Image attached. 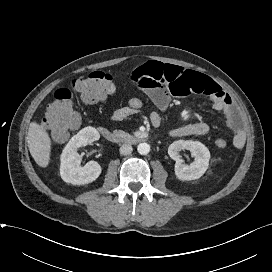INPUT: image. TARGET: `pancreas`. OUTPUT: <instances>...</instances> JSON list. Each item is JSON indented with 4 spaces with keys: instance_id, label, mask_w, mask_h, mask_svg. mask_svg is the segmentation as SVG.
Returning a JSON list of instances; mask_svg holds the SVG:
<instances>
[{
    "instance_id": "obj_1",
    "label": "pancreas",
    "mask_w": 272,
    "mask_h": 272,
    "mask_svg": "<svg viewBox=\"0 0 272 272\" xmlns=\"http://www.w3.org/2000/svg\"><path fill=\"white\" fill-rule=\"evenodd\" d=\"M114 135L120 139H129L131 136L123 130L114 131Z\"/></svg>"
}]
</instances>
